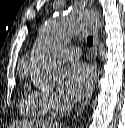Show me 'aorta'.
Instances as JSON below:
<instances>
[{
  "mask_svg": "<svg viewBox=\"0 0 125 128\" xmlns=\"http://www.w3.org/2000/svg\"><path fill=\"white\" fill-rule=\"evenodd\" d=\"M94 21L100 25L96 13L79 8L73 9L66 16L53 18L45 24L38 34L37 50L31 61V76L37 86L51 89L58 83L59 71L49 50L69 41Z\"/></svg>",
  "mask_w": 125,
  "mask_h": 128,
  "instance_id": "obj_1",
  "label": "aorta"
}]
</instances>
